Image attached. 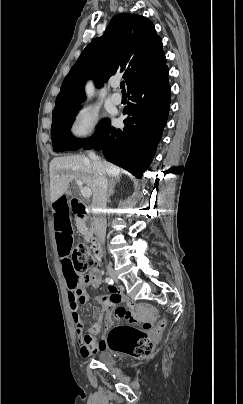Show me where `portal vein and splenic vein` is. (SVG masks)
I'll return each instance as SVG.
<instances>
[{
  "label": "portal vein and splenic vein",
  "mask_w": 243,
  "mask_h": 404,
  "mask_svg": "<svg viewBox=\"0 0 243 404\" xmlns=\"http://www.w3.org/2000/svg\"><path fill=\"white\" fill-rule=\"evenodd\" d=\"M76 184H78V186H82L81 180H77ZM81 194H82L83 198H90L92 192H91L90 188H82Z\"/></svg>",
  "instance_id": "obj_1"
}]
</instances>
